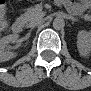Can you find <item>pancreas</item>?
Segmentation results:
<instances>
[{
  "instance_id": "cf45deb5",
  "label": "pancreas",
  "mask_w": 91,
  "mask_h": 91,
  "mask_svg": "<svg viewBox=\"0 0 91 91\" xmlns=\"http://www.w3.org/2000/svg\"><path fill=\"white\" fill-rule=\"evenodd\" d=\"M74 14L77 15V13H74ZM43 15H44V13L42 12L40 7H31L27 10V12H25L24 14L21 15V19H23L26 22V24L28 25ZM83 18L85 20H89L90 16L85 15V16H83Z\"/></svg>"
}]
</instances>
